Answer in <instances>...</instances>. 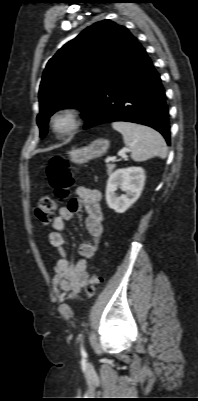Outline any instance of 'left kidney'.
<instances>
[{
    "label": "left kidney",
    "instance_id": "5707ae66",
    "mask_svg": "<svg viewBox=\"0 0 198 401\" xmlns=\"http://www.w3.org/2000/svg\"><path fill=\"white\" fill-rule=\"evenodd\" d=\"M145 183L144 170L141 167H129L116 170L109 176L106 187V202L117 213H124L140 197ZM118 188L126 194L116 195Z\"/></svg>",
    "mask_w": 198,
    "mask_h": 401
}]
</instances>
